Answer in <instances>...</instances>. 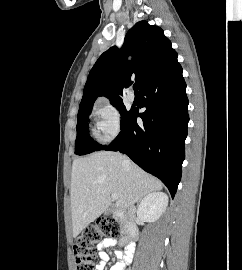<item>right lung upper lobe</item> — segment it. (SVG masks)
Wrapping results in <instances>:
<instances>
[{"label": "right lung upper lobe", "instance_id": "1", "mask_svg": "<svg viewBox=\"0 0 242 270\" xmlns=\"http://www.w3.org/2000/svg\"><path fill=\"white\" fill-rule=\"evenodd\" d=\"M132 55L131 61L127 57ZM177 60V53L163 30L137 22L126 34L121 50L111 47L105 51L91 69L84 87L79 110L93 106L98 96L111 102L122 100L123 89L132 85L131 77L143 86Z\"/></svg>", "mask_w": 242, "mask_h": 270}]
</instances>
